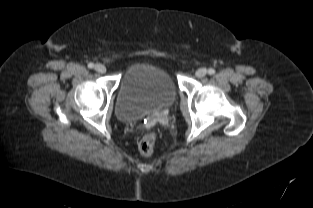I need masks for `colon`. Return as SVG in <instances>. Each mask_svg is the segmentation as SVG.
Here are the masks:
<instances>
[{
    "instance_id": "5ec220e1",
    "label": "colon",
    "mask_w": 313,
    "mask_h": 208,
    "mask_svg": "<svg viewBox=\"0 0 313 208\" xmlns=\"http://www.w3.org/2000/svg\"><path fill=\"white\" fill-rule=\"evenodd\" d=\"M156 136L154 133H147L139 143V151L143 156H150L154 152Z\"/></svg>"
}]
</instances>
